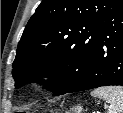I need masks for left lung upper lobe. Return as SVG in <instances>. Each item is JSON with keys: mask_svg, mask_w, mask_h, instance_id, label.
<instances>
[{"mask_svg": "<svg viewBox=\"0 0 123 113\" xmlns=\"http://www.w3.org/2000/svg\"><path fill=\"white\" fill-rule=\"evenodd\" d=\"M115 0H42L18 43L13 77L18 88L37 76L58 96L84 78L102 18Z\"/></svg>", "mask_w": 123, "mask_h": 113, "instance_id": "obj_1", "label": "left lung upper lobe"}]
</instances>
